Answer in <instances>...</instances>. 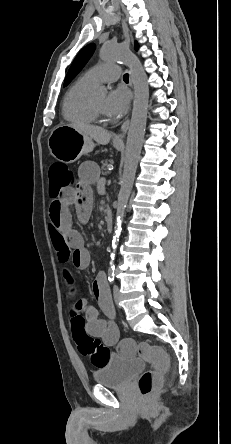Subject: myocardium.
<instances>
[{
	"label": "myocardium",
	"mask_w": 231,
	"mask_h": 444,
	"mask_svg": "<svg viewBox=\"0 0 231 444\" xmlns=\"http://www.w3.org/2000/svg\"><path fill=\"white\" fill-rule=\"evenodd\" d=\"M90 106H91V110H92L94 116L96 117V119H99V120H102V121H107L108 120L107 117L96 108V106L94 105L93 101L90 102Z\"/></svg>",
	"instance_id": "1"
}]
</instances>
